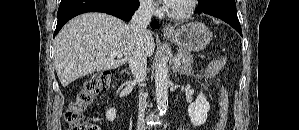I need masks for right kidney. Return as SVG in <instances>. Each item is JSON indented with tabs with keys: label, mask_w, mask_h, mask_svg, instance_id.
<instances>
[{
	"label": "right kidney",
	"mask_w": 299,
	"mask_h": 130,
	"mask_svg": "<svg viewBox=\"0 0 299 130\" xmlns=\"http://www.w3.org/2000/svg\"><path fill=\"white\" fill-rule=\"evenodd\" d=\"M106 118H107L109 121H113V120L116 118V109H115V108H109V109L106 111Z\"/></svg>",
	"instance_id": "ca27d5eb"
}]
</instances>
